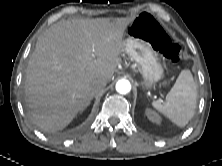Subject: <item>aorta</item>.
Wrapping results in <instances>:
<instances>
[{"label": "aorta", "instance_id": "obj_1", "mask_svg": "<svg viewBox=\"0 0 222 166\" xmlns=\"http://www.w3.org/2000/svg\"><path fill=\"white\" fill-rule=\"evenodd\" d=\"M116 91L120 94H127L131 91V84L128 80L121 79L116 83Z\"/></svg>", "mask_w": 222, "mask_h": 166}]
</instances>
